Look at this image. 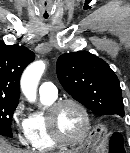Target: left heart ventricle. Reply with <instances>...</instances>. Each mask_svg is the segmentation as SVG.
Segmentation results:
<instances>
[{"mask_svg": "<svg viewBox=\"0 0 130 153\" xmlns=\"http://www.w3.org/2000/svg\"><path fill=\"white\" fill-rule=\"evenodd\" d=\"M57 127L60 134L67 139H76L84 129L81 112L73 105L63 106L57 115Z\"/></svg>", "mask_w": 130, "mask_h": 153, "instance_id": "left-heart-ventricle-1", "label": "left heart ventricle"}]
</instances>
